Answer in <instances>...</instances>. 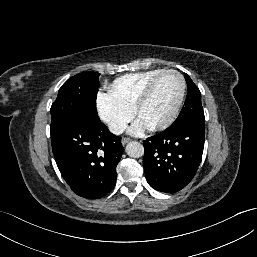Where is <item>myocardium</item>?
<instances>
[{
  "label": "myocardium",
  "instance_id": "f54148a6",
  "mask_svg": "<svg viewBox=\"0 0 257 257\" xmlns=\"http://www.w3.org/2000/svg\"><path fill=\"white\" fill-rule=\"evenodd\" d=\"M168 73H172L175 74L179 77L180 82H181V90H180V95L179 98L177 100L176 105L174 106L172 112L170 113V115L162 122L150 126L148 127V129L150 131H160V130H164L166 128H168L177 118L180 109L183 105L184 102V98H185V94H186V80L184 78V76L182 75V73H180L179 71L175 70V69H164L162 70L159 74H157L147 85L146 87L143 89L142 93L140 94V96L138 97L133 111L136 117L139 116V113L141 111V109L144 107V105L147 103V101L150 99L154 88L156 86V84L158 83V81L160 80V78L162 76H164L165 74Z\"/></svg>",
  "mask_w": 257,
  "mask_h": 257
}]
</instances>
